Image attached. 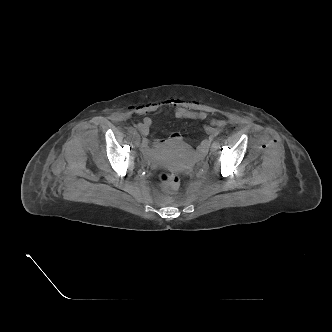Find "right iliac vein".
Instances as JSON below:
<instances>
[{"label":"right iliac vein","mask_w":332,"mask_h":332,"mask_svg":"<svg viewBox=\"0 0 332 332\" xmlns=\"http://www.w3.org/2000/svg\"><path fill=\"white\" fill-rule=\"evenodd\" d=\"M133 136H134L136 144L139 145L140 144V136H139V134L138 133H134Z\"/></svg>","instance_id":"63e3f726"}]
</instances>
